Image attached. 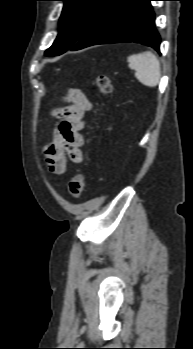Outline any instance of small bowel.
<instances>
[{
  "mask_svg": "<svg viewBox=\"0 0 193 349\" xmlns=\"http://www.w3.org/2000/svg\"><path fill=\"white\" fill-rule=\"evenodd\" d=\"M69 104L56 112L60 122L52 129V140L44 148V158L49 171L61 175L67 170V160L74 163L84 161L82 147L85 140L80 131L86 124V115L92 104L77 89L68 94Z\"/></svg>",
  "mask_w": 193,
  "mask_h": 349,
  "instance_id": "1",
  "label": "small bowel"
}]
</instances>
